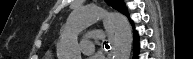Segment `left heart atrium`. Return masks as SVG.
<instances>
[{
	"label": "left heart atrium",
	"mask_w": 193,
	"mask_h": 59,
	"mask_svg": "<svg viewBox=\"0 0 193 59\" xmlns=\"http://www.w3.org/2000/svg\"><path fill=\"white\" fill-rule=\"evenodd\" d=\"M88 59H101V58L98 57V56H91V57H89Z\"/></svg>",
	"instance_id": "39dd6f15"
}]
</instances>
